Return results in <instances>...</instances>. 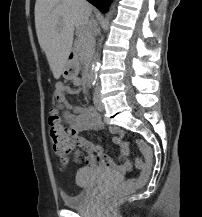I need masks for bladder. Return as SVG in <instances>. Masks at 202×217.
Instances as JSON below:
<instances>
[{"mask_svg":"<svg viewBox=\"0 0 202 217\" xmlns=\"http://www.w3.org/2000/svg\"><path fill=\"white\" fill-rule=\"evenodd\" d=\"M101 171L90 168L82 167L80 168L75 176V182L80 188L76 195L63 194L61 196L62 203L66 207H83L85 206L92 196V188L98 182Z\"/></svg>","mask_w":202,"mask_h":217,"instance_id":"31cf9c89","label":"bladder"}]
</instances>
